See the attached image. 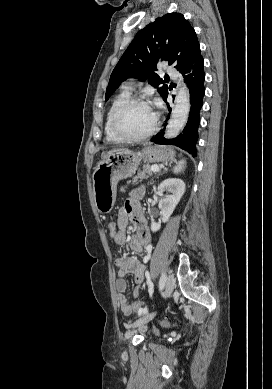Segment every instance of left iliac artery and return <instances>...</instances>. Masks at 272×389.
Instances as JSON below:
<instances>
[{
  "instance_id": "left-iliac-artery-1",
  "label": "left iliac artery",
  "mask_w": 272,
  "mask_h": 389,
  "mask_svg": "<svg viewBox=\"0 0 272 389\" xmlns=\"http://www.w3.org/2000/svg\"><path fill=\"white\" fill-rule=\"evenodd\" d=\"M165 282H166V275L164 273H162L161 275V278L159 280V289L162 290L165 286ZM148 291H149V294L150 296H152V293H153V284L152 282L150 281V279L148 280Z\"/></svg>"
}]
</instances>
